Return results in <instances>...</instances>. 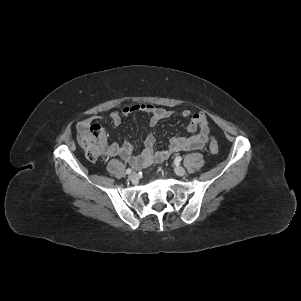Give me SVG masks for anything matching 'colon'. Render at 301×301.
I'll return each mask as SVG.
<instances>
[{
	"label": "colon",
	"instance_id": "1",
	"mask_svg": "<svg viewBox=\"0 0 301 301\" xmlns=\"http://www.w3.org/2000/svg\"><path fill=\"white\" fill-rule=\"evenodd\" d=\"M78 139L90 161H97L103 155L106 147V131L100 124L89 123L80 128ZM209 149L212 154H217L219 151V146L214 136L210 137Z\"/></svg>",
	"mask_w": 301,
	"mask_h": 301
}]
</instances>
